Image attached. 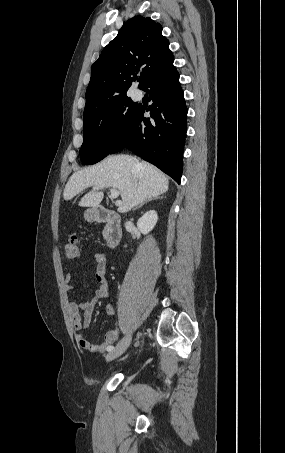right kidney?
I'll return each instance as SVG.
<instances>
[{"instance_id":"obj_1","label":"right kidney","mask_w":285,"mask_h":453,"mask_svg":"<svg viewBox=\"0 0 285 453\" xmlns=\"http://www.w3.org/2000/svg\"><path fill=\"white\" fill-rule=\"evenodd\" d=\"M157 220L158 216L156 211L150 210L138 219L137 227L142 234L146 235L154 228Z\"/></svg>"}]
</instances>
